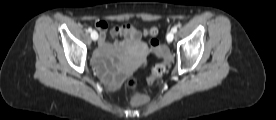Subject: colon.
<instances>
[{
	"label": "colon",
	"instance_id": "obj_1",
	"mask_svg": "<svg viewBox=\"0 0 276 120\" xmlns=\"http://www.w3.org/2000/svg\"><path fill=\"white\" fill-rule=\"evenodd\" d=\"M145 34L153 38L157 34V29L155 27L150 28L145 31ZM148 44L152 54L155 57L162 58L164 61L168 60L169 58L168 51L165 48L161 47L157 41L152 39L149 41ZM164 72H165V64L164 63L156 64L153 67L151 75L148 79L149 83H153L157 78L161 77ZM137 84L138 82L135 76L128 77L124 84V91H125V94L131 98V101L134 105L140 106L148 103L149 99L146 96L132 93L136 89Z\"/></svg>",
	"mask_w": 276,
	"mask_h": 120
}]
</instances>
